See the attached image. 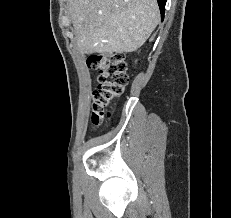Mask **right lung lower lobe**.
<instances>
[{"instance_id": "98d812e1", "label": "right lung lower lobe", "mask_w": 231, "mask_h": 218, "mask_svg": "<svg viewBox=\"0 0 231 218\" xmlns=\"http://www.w3.org/2000/svg\"><path fill=\"white\" fill-rule=\"evenodd\" d=\"M158 1V5L160 8V12H161V18L163 20L164 18V11H165V4L167 0H157Z\"/></svg>"}]
</instances>
